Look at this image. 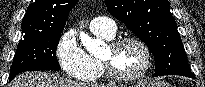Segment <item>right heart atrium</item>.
Wrapping results in <instances>:
<instances>
[{"label":"right heart atrium","instance_id":"d8ad5b80","mask_svg":"<svg viewBox=\"0 0 205 87\" xmlns=\"http://www.w3.org/2000/svg\"><path fill=\"white\" fill-rule=\"evenodd\" d=\"M58 63L67 76L81 79L91 71L88 54L79 45L73 32L64 33L55 49Z\"/></svg>","mask_w":205,"mask_h":87}]
</instances>
